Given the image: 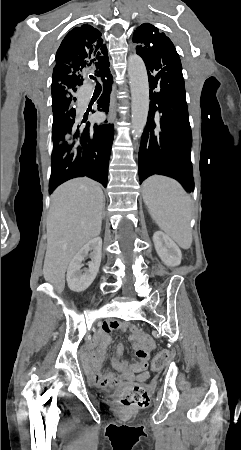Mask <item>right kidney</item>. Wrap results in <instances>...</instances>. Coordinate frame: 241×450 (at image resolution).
<instances>
[{"mask_svg":"<svg viewBox=\"0 0 241 450\" xmlns=\"http://www.w3.org/2000/svg\"><path fill=\"white\" fill-rule=\"evenodd\" d=\"M101 250L102 238H93L77 252L67 270V284L70 290H73V292H84L91 286L99 272L102 256ZM87 256L91 258V262H88L89 268L88 270H81L83 266L82 260L87 258Z\"/></svg>","mask_w":241,"mask_h":450,"instance_id":"ca27d5eb","label":"right kidney"}]
</instances>
